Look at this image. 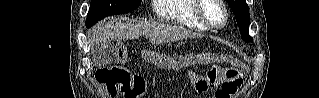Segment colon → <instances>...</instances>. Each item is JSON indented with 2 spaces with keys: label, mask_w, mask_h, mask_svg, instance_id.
Returning a JSON list of instances; mask_svg holds the SVG:
<instances>
[{
  "label": "colon",
  "mask_w": 319,
  "mask_h": 98,
  "mask_svg": "<svg viewBox=\"0 0 319 98\" xmlns=\"http://www.w3.org/2000/svg\"><path fill=\"white\" fill-rule=\"evenodd\" d=\"M145 60L155 67L162 69H179L195 61H207L215 58L220 64H214L206 74L209 87H218L214 98H231L243 84V72L233 65L230 57L215 54H201L197 56L173 54L167 56L153 51L144 52ZM128 57L126 48L119 45L116 48V60L124 62ZM97 81L102 84L110 97L122 94L125 98H138L145 90V81L141 76L133 75L125 68L111 66L99 69L96 73Z\"/></svg>",
  "instance_id": "colon-1"
}]
</instances>
